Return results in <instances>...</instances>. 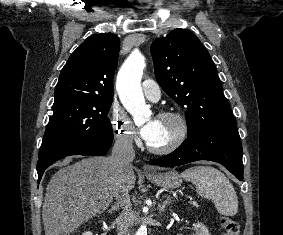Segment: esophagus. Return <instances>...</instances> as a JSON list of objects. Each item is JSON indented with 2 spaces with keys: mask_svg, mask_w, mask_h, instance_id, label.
<instances>
[{
  "mask_svg": "<svg viewBox=\"0 0 283 235\" xmlns=\"http://www.w3.org/2000/svg\"><path fill=\"white\" fill-rule=\"evenodd\" d=\"M143 171H144V173H153L154 169L150 165H144Z\"/></svg>",
  "mask_w": 283,
  "mask_h": 235,
  "instance_id": "1",
  "label": "esophagus"
}]
</instances>
